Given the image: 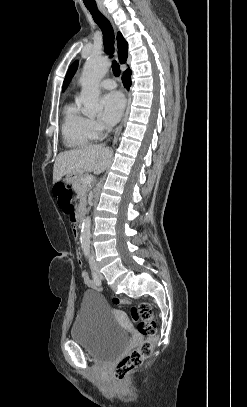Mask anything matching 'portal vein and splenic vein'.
<instances>
[{
	"instance_id": "18ae733b",
	"label": "portal vein and splenic vein",
	"mask_w": 247,
	"mask_h": 407,
	"mask_svg": "<svg viewBox=\"0 0 247 407\" xmlns=\"http://www.w3.org/2000/svg\"><path fill=\"white\" fill-rule=\"evenodd\" d=\"M83 181H84V183H86V184H90L92 181H93V176H86L84 179H83Z\"/></svg>"
}]
</instances>
